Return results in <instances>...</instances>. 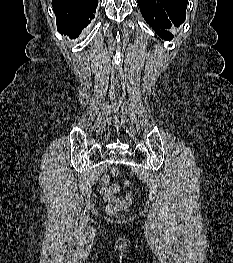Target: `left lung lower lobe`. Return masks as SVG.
I'll return each instance as SVG.
<instances>
[{
  "instance_id": "obj_1",
  "label": "left lung lower lobe",
  "mask_w": 233,
  "mask_h": 263,
  "mask_svg": "<svg viewBox=\"0 0 233 263\" xmlns=\"http://www.w3.org/2000/svg\"><path fill=\"white\" fill-rule=\"evenodd\" d=\"M141 14L153 30L163 39L171 40L167 31L184 22L188 0H137Z\"/></svg>"
}]
</instances>
